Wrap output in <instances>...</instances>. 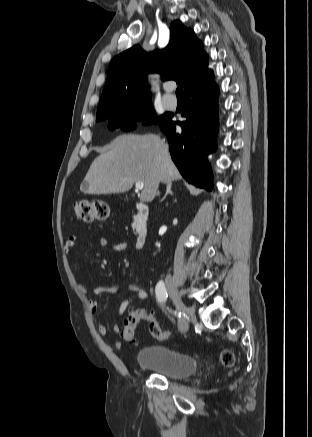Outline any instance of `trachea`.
I'll return each mask as SVG.
<instances>
[{
  "mask_svg": "<svg viewBox=\"0 0 312 437\" xmlns=\"http://www.w3.org/2000/svg\"><path fill=\"white\" fill-rule=\"evenodd\" d=\"M176 95L177 97H183V87L182 85H179L176 89Z\"/></svg>",
  "mask_w": 312,
  "mask_h": 437,
  "instance_id": "1",
  "label": "trachea"
}]
</instances>
